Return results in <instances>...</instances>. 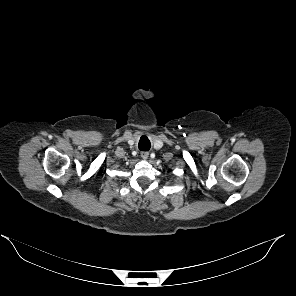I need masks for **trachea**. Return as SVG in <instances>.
I'll use <instances>...</instances> for the list:
<instances>
[{"mask_svg": "<svg viewBox=\"0 0 296 296\" xmlns=\"http://www.w3.org/2000/svg\"><path fill=\"white\" fill-rule=\"evenodd\" d=\"M150 146L151 145L148 139H146L145 141L140 140L138 145L139 149L142 151H148L150 149Z\"/></svg>", "mask_w": 296, "mask_h": 296, "instance_id": "3493384b", "label": "trachea"}]
</instances>
